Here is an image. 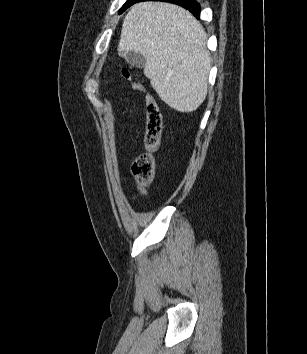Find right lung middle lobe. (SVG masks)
Here are the masks:
<instances>
[{
	"mask_svg": "<svg viewBox=\"0 0 307 354\" xmlns=\"http://www.w3.org/2000/svg\"><path fill=\"white\" fill-rule=\"evenodd\" d=\"M136 2H137V0H127L126 3L120 9V12H123L125 9H127L128 7H130L131 5H133Z\"/></svg>",
	"mask_w": 307,
	"mask_h": 354,
	"instance_id": "right-lung-middle-lobe-1",
	"label": "right lung middle lobe"
}]
</instances>
